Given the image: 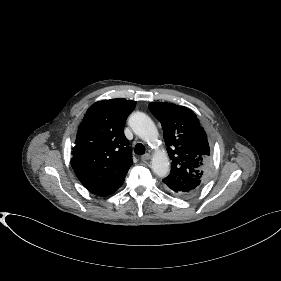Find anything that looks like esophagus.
Wrapping results in <instances>:
<instances>
[{
  "mask_svg": "<svg viewBox=\"0 0 281 281\" xmlns=\"http://www.w3.org/2000/svg\"><path fill=\"white\" fill-rule=\"evenodd\" d=\"M150 158H151L150 154L146 153L141 156V161L145 162V161H148Z\"/></svg>",
  "mask_w": 281,
  "mask_h": 281,
  "instance_id": "esophagus-1",
  "label": "esophagus"
}]
</instances>
